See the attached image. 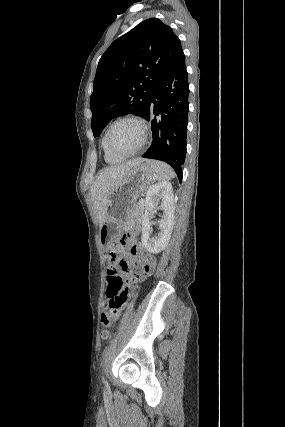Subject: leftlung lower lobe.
Returning a JSON list of instances; mask_svg holds the SVG:
<instances>
[{"instance_id": "1", "label": "left lung lower lobe", "mask_w": 285, "mask_h": 427, "mask_svg": "<svg viewBox=\"0 0 285 427\" xmlns=\"http://www.w3.org/2000/svg\"><path fill=\"white\" fill-rule=\"evenodd\" d=\"M188 73L183 51L156 85L143 116L152 122L153 141L144 158L168 163L182 180L186 156L188 119ZM153 113L156 117L151 118Z\"/></svg>"}]
</instances>
